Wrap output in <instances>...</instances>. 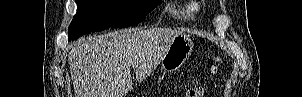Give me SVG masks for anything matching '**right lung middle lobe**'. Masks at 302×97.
Instances as JSON below:
<instances>
[{
	"mask_svg": "<svg viewBox=\"0 0 302 97\" xmlns=\"http://www.w3.org/2000/svg\"><path fill=\"white\" fill-rule=\"evenodd\" d=\"M77 13L69 28V41L105 28L135 25L160 1L151 0H76Z\"/></svg>",
	"mask_w": 302,
	"mask_h": 97,
	"instance_id": "dd1d6c3e",
	"label": "right lung middle lobe"
}]
</instances>
